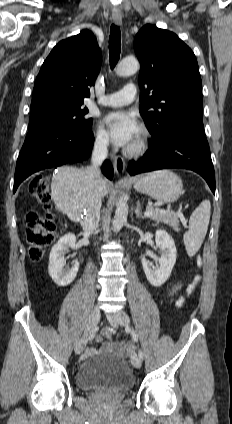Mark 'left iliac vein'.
<instances>
[{"mask_svg": "<svg viewBox=\"0 0 232 424\" xmlns=\"http://www.w3.org/2000/svg\"><path fill=\"white\" fill-rule=\"evenodd\" d=\"M109 322L113 325H121L123 327H128L130 320L128 315L123 311H117L115 313L107 315ZM131 362L135 368L141 367V359L137 354L131 356Z\"/></svg>", "mask_w": 232, "mask_h": 424, "instance_id": "1", "label": "left iliac vein"}]
</instances>
